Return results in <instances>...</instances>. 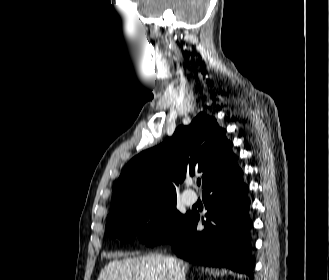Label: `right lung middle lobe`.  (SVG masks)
I'll return each mask as SVG.
<instances>
[{
  "label": "right lung middle lobe",
  "mask_w": 329,
  "mask_h": 280,
  "mask_svg": "<svg viewBox=\"0 0 329 280\" xmlns=\"http://www.w3.org/2000/svg\"><path fill=\"white\" fill-rule=\"evenodd\" d=\"M190 215L191 212L181 214L176 209V197H143L110 212L106 233L110 238L118 237L122 242L133 241L152 217L141 241L154 246L169 242L187 223Z\"/></svg>",
  "instance_id": "1"
}]
</instances>
